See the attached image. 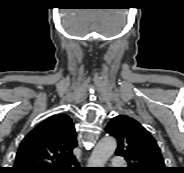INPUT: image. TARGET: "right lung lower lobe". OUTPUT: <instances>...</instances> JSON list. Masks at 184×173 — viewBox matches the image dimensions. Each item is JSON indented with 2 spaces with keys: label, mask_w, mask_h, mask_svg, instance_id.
<instances>
[{
  "label": "right lung lower lobe",
  "mask_w": 184,
  "mask_h": 173,
  "mask_svg": "<svg viewBox=\"0 0 184 173\" xmlns=\"http://www.w3.org/2000/svg\"><path fill=\"white\" fill-rule=\"evenodd\" d=\"M79 172H81V170L73 169L72 167L69 166L68 168L60 171L59 173H79Z\"/></svg>",
  "instance_id": "obj_1"
}]
</instances>
